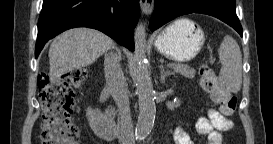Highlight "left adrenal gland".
I'll return each mask as SVG.
<instances>
[{"label": "left adrenal gland", "mask_w": 273, "mask_h": 144, "mask_svg": "<svg viewBox=\"0 0 273 144\" xmlns=\"http://www.w3.org/2000/svg\"><path fill=\"white\" fill-rule=\"evenodd\" d=\"M159 68H160V82L162 84H164L166 77L173 74V73L171 71H169V70L165 71L163 65H160Z\"/></svg>", "instance_id": "1"}]
</instances>
